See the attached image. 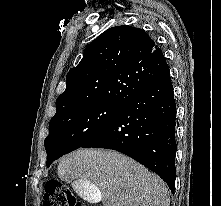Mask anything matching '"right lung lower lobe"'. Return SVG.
I'll return each instance as SVG.
<instances>
[{
    "mask_svg": "<svg viewBox=\"0 0 221 206\" xmlns=\"http://www.w3.org/2000/svg\"><path fill=\"white\" fill-rule=\"evenodd\" d=\"M176 104L169 70L128 101L118 115L81 147L124 153L157 173L174 194Z\"/></svg>",
    "mask_w": 221,
    "mask_h": 206,
    "instance_id": "1",
    "label": "right lung lower lobe"
}]
</instances>
